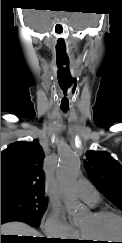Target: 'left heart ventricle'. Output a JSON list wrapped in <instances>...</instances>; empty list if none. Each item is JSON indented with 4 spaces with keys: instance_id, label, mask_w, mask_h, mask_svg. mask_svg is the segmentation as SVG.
<instances>
[{
    "instance_id": "1",
    "label": "left heart ventricle",
    "mask_w": 122,
    "mask_h": 243,
    "mask_svg": "<svg viewBox=\"0 0 122 243\" xmlns=\"http://www.w3.org/2000/svg\"><path fill=\"white\" fill-rule=\"evenodd\" d=\"M78 227L87 237L99 240L92 241L94 243H108L107 240L122 238V221L113 216L96 218L89 214Z\"/></svg>"
}]
</instances>
